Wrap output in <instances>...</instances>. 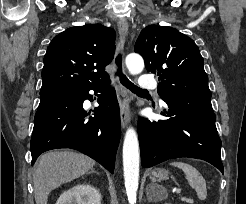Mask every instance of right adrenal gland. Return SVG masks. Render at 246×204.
<instances>
[{
    "instance_id": "right-adrenal-gland-1",
    "label": "right adrenal gland",
    "mask_w": 246,
    "mask_h": 204,
    "mask_svg": "<svg viewBox=\"0 0 246 204\" xmlns=\"http://www.w3.org/2000/svg\"><path fill=\"white\" fill-rule=\"evenodd\" d=\"M89 173H96V174H99V172H97L95 169H91V171Z\"/></svg>"
}]
</instances>
